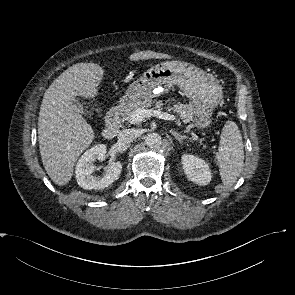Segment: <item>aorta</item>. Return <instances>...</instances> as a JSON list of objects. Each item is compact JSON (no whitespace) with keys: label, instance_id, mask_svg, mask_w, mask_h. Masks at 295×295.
<instances>
[{"label":"aorta","instance_id":"obj_1","mask_svg":"<svg viewBox=\"0 0 295 295\" xmlns=\"http://www.w3.org/2000/svg\"><path fill=\"white\" fill-rule=\"evenodd\" d=\"M145 141L150 148H157L162 144V138L157 133H149Z\"/></svg>","mask_w":295,"mask_h":295}]
</instances>
